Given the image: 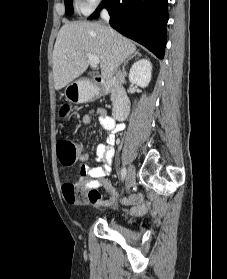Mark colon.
<instances>
[{
	"instance_id": "5ec220e1",
	"label": "colon",
	"mask_w": 227,
	"mask_h": 279,
	"mask_svg": "<svg viewBox=\"0 0 227 279\" xmlns=\"http://www.w3.org/2000/svg\"><path fill=\"white\" fill-rule=\"evenodd\" d=\"M70 115V108L68 105H64L59 112V121L65 122ZM79 155V147L76 145L75 142L70 140L67 137H61L57 143V156L60 163L65 166L69 167L72 166L75 161L77 160ZM75 186L73 183H67L65 189L74 190ZM99 193L96 190H92L88 194V198L94 199L99 197Z\"/></svg>"
}]
</instances>
